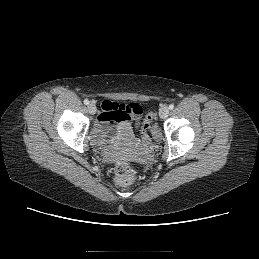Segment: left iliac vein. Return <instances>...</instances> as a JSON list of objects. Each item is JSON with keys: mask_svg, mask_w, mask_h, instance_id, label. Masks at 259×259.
<instances>
[{"mask_svg": "<svg viewBox=\"0 0 259 259\" xmlns=\"http://www.w3.org/2000/svg\"><path fill=\"white\" fill-rule=\"evenodd\" d=\"M168 115H169V108L167 106L161 107L159 111L160 118L165 119L167 118Z\"/></svg>", "mask_w": 259, "mask_h": 259, "instance_id": "4c4485c4", "label": "left iliac vein"}]
</instances>
